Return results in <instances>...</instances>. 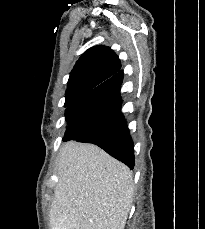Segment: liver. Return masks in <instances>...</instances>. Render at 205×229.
Here are the masks:
<instances>
[{
	"label": "liver",
	"instance_id": "obj_1",
	"mask_svg": "<svg viewBox=\"0 0 205 229\" xmlns=\"http://www.w3.org/2000/svg\"><path fill=\"white\" fill-rule=\"evenodd\" d=\"M51 229H124L134 186L129 168L92 144L60 150Z\"/></svg>",
	"mask_w": 205,
	"mask_h": 229
}]
</instances>
